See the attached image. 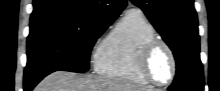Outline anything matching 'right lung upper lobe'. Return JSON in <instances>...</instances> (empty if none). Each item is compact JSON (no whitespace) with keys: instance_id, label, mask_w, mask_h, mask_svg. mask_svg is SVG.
Wrapping results in <instances>:
<instances>
[{"instance_id":"1","label":"right lung upper lobe","mask_w":220,"mask_h":91,"mask_svg":"<svg viewBox=\"0 0 220 91\" xmlns=\"http://www.w3.org/2000/svg\"><path fill=\"white\" fill-rule=\"evenodd\" d=\"M126 4V0H34L30 25L53 20L111 25Z\"/></svg>"}]
</instances>
